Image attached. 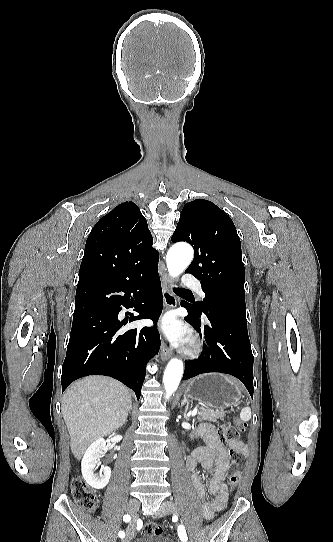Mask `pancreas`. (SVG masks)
<instances>
[{
	"instance_id": "1",
	"label": "pancreas",
	"mask_w": 333,
	"mask_h": 542,
	"mask_svg": "<svg viewBox=\"0 0 333 542\" xmlns=\"http://www.w3.org/2000/svg\"><path fill=\"white\" fill-rule=\"evenodd\" d=\"M227 412H215V410H207V408H199L197 420H208V422H216V420H224Z\"/></svg>"
}]
</instances>
